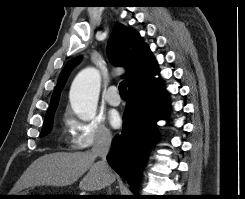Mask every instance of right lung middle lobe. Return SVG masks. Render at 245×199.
Wrapping results in <instances>:
<instances>
[{"label":"right lung middle lobe","mask_w":245,"mask_h":199,"mask_svg":"<svg viewBox=\"0 0 245 199\" xmlns=\"http://www.w3.org/2000/svg\"><path fill=\"white\" fill-rule=\"evenodd\" d=\"M53 115H54V112L45 116L43 128L40 133L41 137L47 135L51 131Z\"/></svg>","instance_id":"dd1d6c3e"}]
</instances>
